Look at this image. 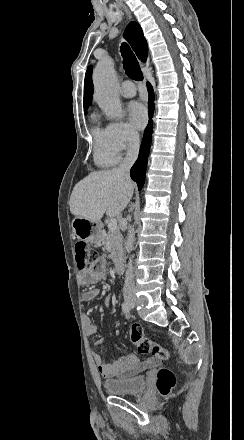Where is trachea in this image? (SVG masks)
<instances>
[{
	"label": "trachea",
	"instance_id": "trachea-1",
	"mask_svg": "<svg viewBox=\"0 0 244 440\" xmlns=\"http://www.w3.org/2000/svg\"><path fill=\"white\" fill-rule=\"evenodd\" d=\"M121 54L123 57L124 70L127 75L133 80L141 82L143 80V74L134 53L126 43H123L121 46Z\"/></svg>",
	"mask_w": 244,
	"mask_h": 440
}]
</instances>
